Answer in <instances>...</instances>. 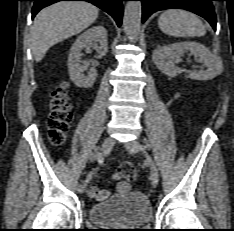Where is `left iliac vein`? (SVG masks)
I'll list each match as a JSON object with an SVG mask.
<instances>
[{"label":"left iliac vein","instance_id":"1","mask_svg":"<svg viewBox=\"0 0 234 231\" xmlns=\"http://www.w3.org/2000/svg\"><path fill=\"white\" fill-rule=\"evenodd\" d=\"M125 147L130 153L147 155L146 151L138 141L133 140L127 142L125 143ZM150 179H151V184L154 187H156L159 182V172L156 164L153 161L150 162Z\"/></svg>","mask_w":234,"mask_h":231}]
</instances>
